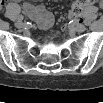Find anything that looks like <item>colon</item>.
Listing matches in <instances>:
<instances>
[{"label":"colon","instance_id":"5ec220e1","mask_svg":"<svg viewBox=\"0 0 103 103\" xmlns=\"http://www.w3.org/2000/svg\"><path fill=\"white\" fill-rule=\"evenodd\" d=\"M87 5H88L87 1H83V0L75 1L71 7V11H70L71 17L73 19L79 20Z\"/></svg>","mask_w":103,"mask_h":103}]
</instances>
